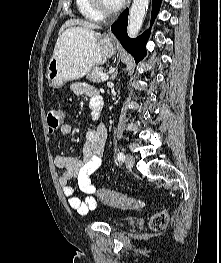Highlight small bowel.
Wrapping results in <instances>:
<instances>
[{"label":"small bowel","mask_w":221,"mask_h":263,"mask_svg":"<svg viewBox=\"0 0 221 263\" xmlns=\"http://www.w3.org/2000/svg\"><path fill=\"white\" fill-rule=\"evenodd\" d=\"M72 91L77 96L89 97L92 108L97 101L101 100L98 90L85 82L73 83ZM60 132L65 135L70 134L72 126L68 123H63L60 127ZM106 137L105 126L97 123L95 128L89 130L86 134V146L80 159L60 154H55L54 156V164L61 170L58 176V183L62 188V193L67 198L69 207L81 215L88 214L97 208L96 188L91 182V175L102 163ZM72 179L77 180L79 189L86 194L84 199L75 196L74 188L69 185V181Z\"/></svg>","instance_id":"obj_1"}]
</instances>
